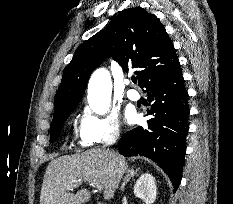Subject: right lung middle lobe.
I'll use <instances>...</instances> for the list:
<instances>
[{"label":"right lung middle lobe","mask_w":233,"mask_h":204,"mask_svg":"<svg viewBox=\"0 0 233 204\" xmlns=\"http://www.w3.org/2000/svg\"><path fill=\"white\" fill-rule=\"evenodd\" d=\"M70 113L71 111L62 115L59 118L52 120V123L50 126V142H54L58 139L60 132H61V128L64 124V121L69 117Z\"/></svg>","instance_id":"right-lung-middle-lobe-1"}]
</instances>
